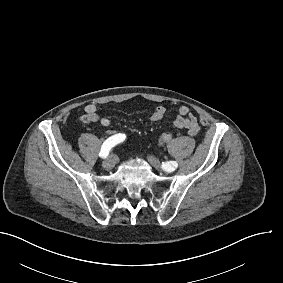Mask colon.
Instances as JSON below:
<instances>
[{
  "label": "colon",
  "mask_w": 283,
  "mask_h": 283,
  "mask_svg": "<svg viewBox=\"0 0 283 283\" xmlns=\"http://www.w3.org/2000/svg\"><path fill=\"white\" fill-rule=\"evenodd\" d=\"M172 137H173V134L171 131H165L161 134L158 140V144L160 146H165L171 141Z\"/></svg>",
  "instance_id": "5ec220e1"
}]
</instances>
